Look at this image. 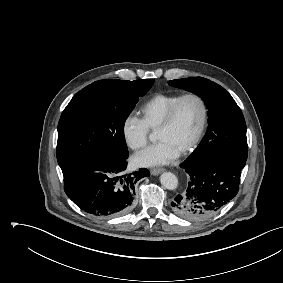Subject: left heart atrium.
Returning a JSON list of instances; mask_svg holds the SVG:
<instances>
[{"label":"left heart atrium","instance_id":"39dd6f15","mask_svg":"<svg viewBox=\"0 0 283 283\" xmlns=\"http://www.w3.org/2000/svg\"><path fill=\"white\" fill-rule=\"evenodd\" d=\"M180 155V151L166 141H159L134 157L138 166L164 165L174 161Z\"/></svg>","mask_w":283,"mask_h":283}]
</instances>
